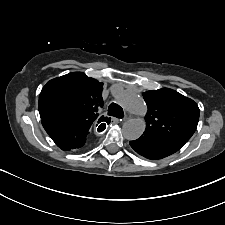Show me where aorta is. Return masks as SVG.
I'll use <instances>...</instances> for the list:
<instances>
[{
  "label": "aorta",
  "mask_w": 225,
  "mask_h": 225,
  "mask_svg": "<svg viewBox=\"0 0 225 225\" xmlns=\"http://www.w3.org/2000/svg\"><path fill=\"white\" fill-rule=\"evenodd\" d=\"M116 100L120 106L137 115H143L147 110L144 100L139 95L128 91H120ZM145 128L144 120L134 118L123 124L122 132L127 140H136L144 133Z\"/></svg>",
  "instance_id": "1"
}]
</instances>
